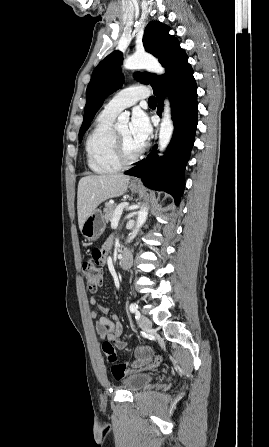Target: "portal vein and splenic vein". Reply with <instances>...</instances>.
I'll use <instances>...</instances> for the list:
<instances>
[{
    "label": "portal vein and splenic vein",
    "mask_w": 269,
    "mask_h": 447,
    "mask_svg": "<svg viewBox=\"0 0 269 447\" xmlns=\"http://www.w3.org/2000/svg\"><path fill=\"white\" fill-rule=\"evenodd\" d=\"M127 207H128V204L125 201H122L119 204H117V206H116L117 210H115L113 217H112V220H113V222H111L112 229H116L117 225L120 224L122 211L127 209Z\"/></svg>",
    "instance_id": "portal-vein-and-splenic-vein-1"
}]
</instances>
